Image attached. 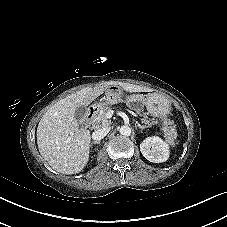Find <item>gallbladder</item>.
I'll return each mask as SVG.
<instances>
[{
	"label": "gallbladder",
	"mask_w": 227,
	"mask_h": 227,
	"mask_svg": "<svg viewBox=\"0 0 227 227\" xmlns=\"http://www.w3.org/2000/svg\"><path fill=\"white\" fill-rule=\"evenodd\" d=\"M86 113V107L81 105L76 109L75 116L78 119H82Z\"/></svg>",
	"instance_id": "obj_1"
}]
</instances>
